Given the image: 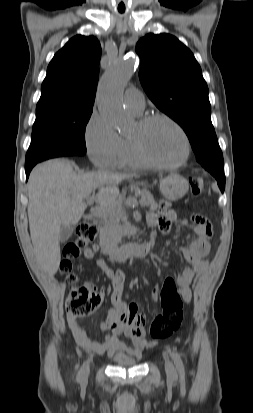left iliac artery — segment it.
<instances>
[{"label": "left iliac artery", "mask_w": 253, "mask_h": 413, "mask_svg": "<svg viewBox=\"0 0 253 413\" xmlns=\"http://www.w3.org/2000/svg\"><path fill=\"white\" fill-rule=\"evenodd\" d=\"M171 357L174 360V363H175L180 375L183 377L184 374H185V371H184V366H183L182 360L180 358V355L176 352H171Z\"/></svg>", "instance_id": "44dca946"}]
</instances>
